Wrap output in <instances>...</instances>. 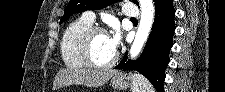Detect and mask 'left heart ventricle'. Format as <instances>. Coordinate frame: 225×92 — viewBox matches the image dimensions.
<instances>
[{"instance_id": "1", "label": "left heart ventricle", "mask_w": 225, "mask_h": 92, "mask_svg": "<svg viewBox=\"0 0 225 92\" xmlns=\"http://www.w3.org/2000/svg\"><path fill=\"white\" fill-rule=\"evenodd\" d=\"M91 56L95 62L105 64L115 55V50L110 41V35L105 32L97 33L91 43Z\"/></svg>"}]
</instances>
